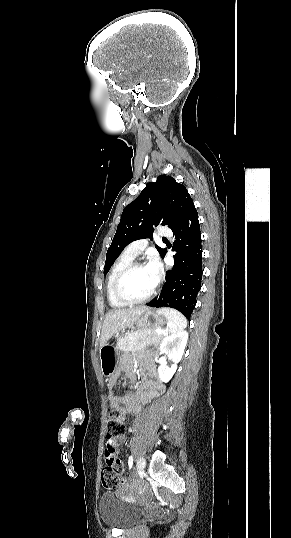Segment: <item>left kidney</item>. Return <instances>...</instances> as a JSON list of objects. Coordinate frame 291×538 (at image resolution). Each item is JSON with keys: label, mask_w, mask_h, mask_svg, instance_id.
<instances>
[{"label": "left kidney", "mask_w": 291, "mask_h": 538, "mask_svg": "<svg viewBox=\"0 0 291 538\" xmlns=\"http://www.w3.org/2000/svg\"><path fill=\"white\" fill-rule=\"evenodd\" d=\"M188 340V333L180 331L175 334L166 336L160 344V352L167 355L173 364L169 367L167 364H161L158 368V374L161 381L167 383L177 370V363L180 362Z\"/></svg>", "instance_id": "left-kidney-1"}]
</instances>
